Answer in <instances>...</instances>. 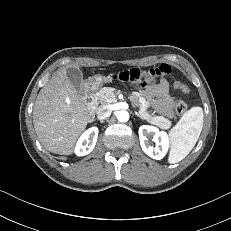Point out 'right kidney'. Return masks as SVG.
<instances>
[{"label":"right kidney","instance_id":"right-kidney-1","mask_svg":"<svg viewBox=\"0 0 231 231\" xmlns=\"http://www.w3.org/2000/svg\"><path fill=\"white\" fill-rule=\"evenodd\" d=\"M98 132L97 127H92L82 134L75 147V154L77 156H85L94 149Z\"/></svg>","mask_w":231,"mask_h":231}]
</instances>
